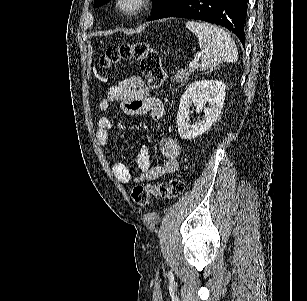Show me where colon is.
Returning a JSON list of instances; mask_svg holds the SVG:
<instances>
[{
  "label": "colon",
  "mask_w": 307,
  "mask_h": 301,
  "mask_svg": "<svg viewBox=\"0 0 307 301\" xmlns=\"http://www.w3.org/2000/svg\"><path fill=\"white\" fill-rule=\"evenodd\" d=\"M137 61L140 70L151 87L162 85L165 75L158 52L146 41L122 43L110 46L102 54V67H111L120 61ZM184 192V182L173 178L168 182L144 183L136 185L131 192V198L138 206H146L152 197L174 199Z\"/></svg>",
  "instance_id": "1"
}]
</instances>
